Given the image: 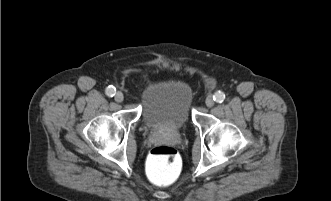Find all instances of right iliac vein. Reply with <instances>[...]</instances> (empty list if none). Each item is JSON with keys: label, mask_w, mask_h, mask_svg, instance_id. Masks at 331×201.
<instances>
[{"label": "right iliac vein", "mask_w": 331, "mask_h": 201, "mask_svg": "<svg viewBox=\"0 0 331 201\" xmlns=\"http://www.w3.org/2000/svg\"><path fill=\"white\" fill-rule=\"evenodd\" d=\"M114 98L116 102H122L124 100V95L121 91H117Z\"/></svg>", "instance_id": "right-iliac-vein-1"}]
</instances>
